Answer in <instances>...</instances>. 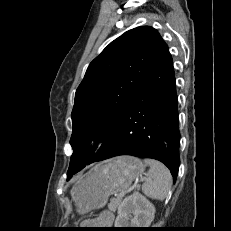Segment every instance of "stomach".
<instances>
[{"label":"stomach","mask_w":231,"mask_h":231,"mask_svg":"<svg viewBox=\"0 0 231 231\" xmlns=\"http://www.w3.org/2000/svg\"><path fill=\"white\" fill-rule=\"evenodd\" d=\"M145 170L142 161L133 156H119L94 166L71 190L81 213L102 208L108 198L126 190Z\"/></svg>","instance_id":"0dacf381"}]
</instances>
